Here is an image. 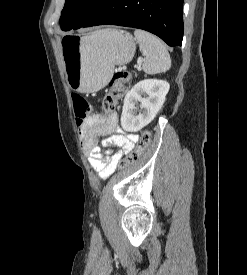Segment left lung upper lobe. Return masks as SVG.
Returning a JSON list of instances; mask_svg holds the SVG:
<instances>
[{"mask_svg":"<svg viewBox=\"0 0 247 275\" xmlns=\"http://www.w3.org/2000/svg\"><path fill=\"white\" fill-rule=\"evenodd\" d=\"M105 0H66L61 12L63 31L77 29L85 24Z\"/></svg>","mask_w":247,"mask_h":275,"instance_id":"left-lung-upper-lobe-1","label":"left lung upper lobe"}]
</instances>
